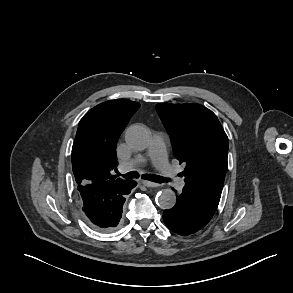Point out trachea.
<instances>
[{
  "label": "trachea",
  "mask_w": 293,
  "mask_h": 293,
  "mask_svg": "<svg viewBox=\"0 0 293 293\" xmlns=\"http://www.w3.org/2000/svg\"><path fill=\"white\" fill-rule=\"evenodd\" d=\"M124 178H138L139 177V173L136 171H131L128 172L126 174L123 175ZM143 178L145 179H149L152 181H156V182H167V179L161 177V176H157V175H152V174H145L143 175Z\"/></svg>",
  "instance_id": "obj_1"
}]
</instances>
